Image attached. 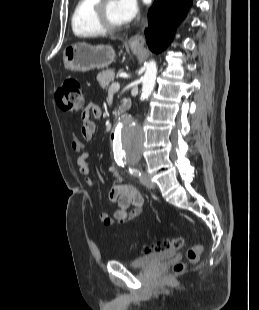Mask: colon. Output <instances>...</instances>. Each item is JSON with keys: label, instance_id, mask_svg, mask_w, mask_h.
Returning <instances> with one entry per match:
<instances>
[{"label": "colon", "instance_id": "obj_1", "mask_svg": "<svg viewBox=\"0 0 259 310\" xmlns=\"http://www.w3.org/2000/svg\"><path fill=\"white\" fill-rule=\"evenodd\" d=\"M56 102L58 106L67 112H81L84 109V96L82 85L75 78H67L56 92ZM184 237L173 238L167 242H160L155 245L143 247V252L161 251L167 249L177 250L185 246ZM202 246L192 245L187 250V263H196L201 255ZM186 266L185 262L175 265V271H182Z\"/></svg>", "mask_w": 259, "mask_h": 310}]
</instances>
